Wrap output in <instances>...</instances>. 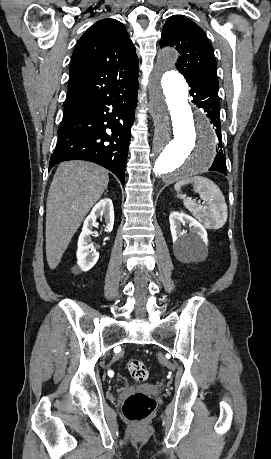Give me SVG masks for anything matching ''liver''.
<instances>
[{"instance_id": "liver-1", "label": "liver", "mask_w": 271, "mask_h": 459, "mask_svg": "<svg viewBox=\"0 0 271 459\" xmlns=\"http://www.w3.org/2000/svg\"><path fill=\"white\" fill-rule=\"evenodd\" d=\"M105 168L92 162H62L57 168L46 204V259L55 269L75 231L106 190Z\"/></svg>"}]
</instances>
